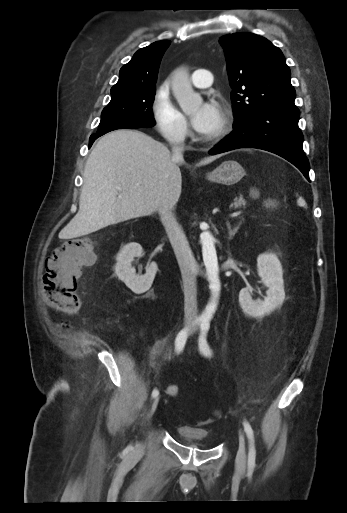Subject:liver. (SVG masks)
<instances>
[{
	"mask_svg": "<svg viewBox=\"0 0 347 513\" xmlns=\"http://www.w3.org/2000/svg\"><path fill=\"white\" fill-rule=\"evenodd\" d=\"M218 157L205 158L199 165ZM181 163L183 160L175 161L164 144L141 131L118 129L105 134L87 159L79 210L59 237L76 238L154 214L166 189L179 198Z\"/></svg>",
	"mask_w": 347,
	"mask_h": 513,
	"instance_id": "obj_1",
	"label": "liver"
}]
</instances>
